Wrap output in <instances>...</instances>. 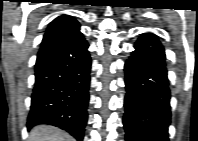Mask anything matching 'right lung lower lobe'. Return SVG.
Here are the masks:
<instances>
[{"label":"right lung lower lobe","mask_w":198,"mask_h":141,"mask_svg":"<svg viewBox=\"0 0 198 141\" xmlns=\"http://www.w3.org/2000/svg\"><path fill=\"white\" fill-rule=\"evenodd\" d=\"M81 32L40 49L27 127L49 124L82 141L87 123L91 59Z\"/></svg>","instance_id":"98d812e1"}]
</instances>
